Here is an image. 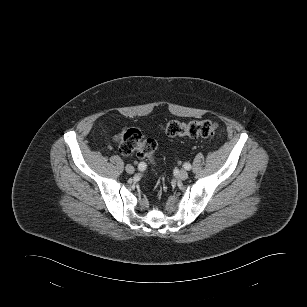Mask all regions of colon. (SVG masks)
Returning <instances> with one entry per match:
<instances>
[{
    "mask_svg": "<svg viewBox=\"0 0 307 307\" xmlns=\"http://www.w3.org/2000/svg\"><path fill=\"white\" fill-rule=\"evenodd\" d=\"M164 133L170 137L208 138L216 133L217 126L210 120H194L182 122L170 120L162 127ZM121 154L135 153L139 158L153 160L157 149V142L152 138H144L142 133L134 128L124 129L114 137Z\"/></svg>",
    "mask_w": 307,
    "mask_h": 307,
    "instance_id": "5ec220e1",
    "label": "colon"
}]
</instances>
